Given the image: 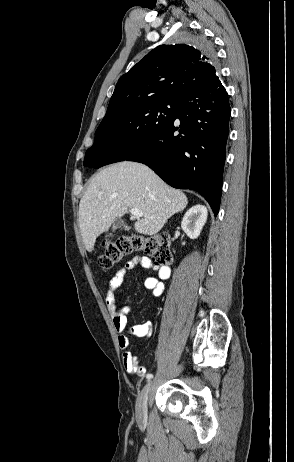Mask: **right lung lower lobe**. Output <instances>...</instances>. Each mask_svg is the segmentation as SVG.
I'll use <instances>...</instances> for the list:
<instances>
[{
	"label": "right lung lower lobe",
	"mask_w": 294,
	"mask_h": 462,
	"mask_svg": "<svg viewBox=\"0 0 294 462\" xmlns=\"http://www.w3.org/2000/svg\"><path fill=\"white\" fill-rule=\"evenodd\" d=\"M230 114L228 94L216 78L186 93L174 118L125 160L146 164L172 187L198 191L217 215ZM105 164L100 153L84 159L88 167Z\"/></svg>",
	"instance_id": "obj_1"
}]
</instances>
